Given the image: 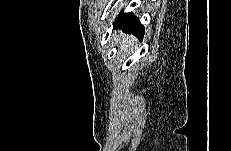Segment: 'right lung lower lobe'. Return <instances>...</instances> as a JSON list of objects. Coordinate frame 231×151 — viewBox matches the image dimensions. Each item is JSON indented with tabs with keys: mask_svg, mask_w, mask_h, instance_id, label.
Listing matches in <instances>:
<instances>
[{
	"mask_svg": "<svg viewBox=\"0 0 231 151\" xmlns=\"http://www.w3.org/2000/svg\"><path fill=\"white\" fill-rule=\"evenodd\" d=\"M114 27L123 29L125 33L133 34L140 40L143 39L145 29L140 23L139 19L136 18L132 13H120Z\"/></svg>",
	"mask_w": 231,
	"mask_h": 151,
	"instance_id": "1",
	"label": "right lung lower lobe"
}]
</instances>
